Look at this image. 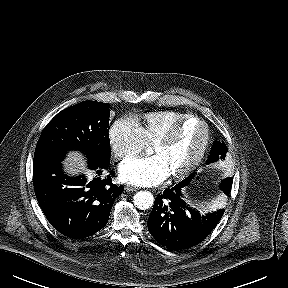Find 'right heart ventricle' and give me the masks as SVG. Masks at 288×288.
Returning <instances> with one entry per match:
<instances>
[{"label": "right heart ventricle", "instance_id": "obj_1", "mask_svg": "<svg viewBox=\"0 0 288 288\" xmlns=\"http://www.w3.org/2000/svg\"><path fill=\"white\" fill-rule=\"evenodd\" d=\"M190 115L177 110H163L149 112L141 117L135 118L145 143H153L171 125L180 119Z\"/></svg>", "mask_w": 288, "mask_h": 288}]
</instances>
